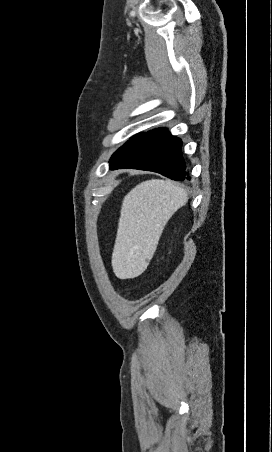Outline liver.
Masks as SVG:
<instances>
[{"label": "liver", "instance_id": "1", "mask_svg": "<svg viewBox=\"0 0 272 452\" xmlns=\"http://www.w3.org/2000/svg\"><path fill=\"white\" fill-rule=\"evenodd\" d=\"M187 200L182 187L160 179L141 182L124 197L112 253L117 278L133 279L147 269L166 223Z\"/></svg>", "mask_w": 272, "mask_h": 452}]
</instances>
